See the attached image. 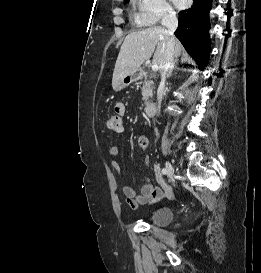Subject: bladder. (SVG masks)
Instances as JSON below:
<instances>
[{
    "label": "bladder",
    "mask_w": 261,
    "mask_h": 273,
    "mask_svg": "<svg viewBox=\"0 0 261 273\" xmlns=\"http://www.w3.org/2000/svg\"><path fill=\"white\" fill-rule=\"evenodd\" d=\"M172 219V212L168 207H160L149 216V222L156 226H165Z\"/></svg>",
    "instance_id": "1"
}]
</instances>
